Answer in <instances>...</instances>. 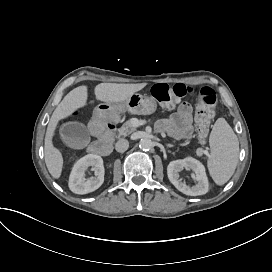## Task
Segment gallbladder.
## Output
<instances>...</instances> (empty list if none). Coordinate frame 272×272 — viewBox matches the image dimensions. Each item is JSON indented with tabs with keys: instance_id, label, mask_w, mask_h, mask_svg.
I'll use <instances>...</instances> for the list:
<instances>
[{
	"instance_id": "bac80fb5",
	"label": "gallbladder",
	"mask_w": 272,
	"mask_h": 272,
	"mask_svg": "<svg viewBox=\"0 0 272 272\" xmlns=\"http://www.w3.org/2000/svg\"><path fill=\"white\" fill-rule=\"evenodd\" d=\"M60 135L63 142L71 148H83L90 142L86 126L79 122H68L61 126Z\"/></svg>"
}]
</instances>
